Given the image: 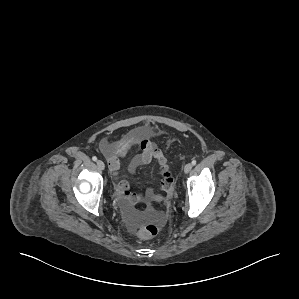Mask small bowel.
I'll list each match as a JSON object with an SVG mask.
<instances>
[{"mask_svg": "<svg viewBox=\"0 0 299 299\" xmlns=\"http://www.w3.org/2000/svg\"><path fill=\"white\" fill-rule=\"evenodd\" d=\"M153 132L140 128L130 131L122 139L116 142L103 141L100 145L103 155L109 162L112 178L116 185L117 194L124 212L130 216H135V207L139 204H146L153 196V190L148 188L143 193H132L129 184L120 175L121 161L132 151L140 152L134 155L129 164L128 170L134 171L141 165L150 164L156 161L160 166L162 180L160 189L168 191L171 188L173 179L168 171L167 159L163 152L152 141Z\"/></svg>", "mask_w": 299, "mask_h": 299, "instance_id": "c3829d8e", "label": "small bowel"}]
</instances>
